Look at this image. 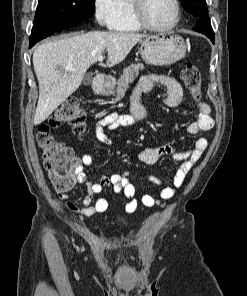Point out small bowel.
<instances>
[{
  "label": "small bowel",
  "mask_w": 247,
  "mask_h": 296,
  "mask_svg": "<svg viewBox=\"0 0 247 296\" xmlns=\"http://www.w3.org/2000/svg\"><path fill=\"white\" fill-rule=\"evenodd\" d=\"M155 86H161L165 89L166 94L163 97V103L169 108H177L187 101L181 85L174 78L161 76L156 74H148L143 76L135 87L131 98V114L111 113L102 118L96 127L97 139L110 145L112 142L106 135V129H117L121 127H131L136 125L140 120L147 117L145 109L142 107L139 98L143 93L150 92ZM196 119L187 125V132L196 135L203 131H209L214 125L211 116V108L204 102L197 103ZM208 147V141L204 137L196 140L194 147L185 153H176L172 145L165 144L159 147H150L141 150L137 154V158L141 163L153 165L163 155H172L175 160L181 161V165L176 170L173 177V187H164L159 196L143 194L140 202L147 207L160 205L162 202L172 198L176 188H179L193 165L199 160L203 152ZM93 164V158L89 154H83L80 158V165L77 171V181L86 185L87 194L83 200L81 207L70 201L69 196L65 192L58 194L59 198L64 201L66 207L81 216L90 217L95 214H103L108 209V201L99 197L95 201V197L99 195L103 188L112 186L115 193L125 198V211L128 214L134 213L138 207L136 198V188L129 178L128 172L103 176L99 181H93L85 172V167ZM146 180L155 185H162V181L154 176H147Z\"/></svg>",
  "instance_id": "1"
}]
</instances>
